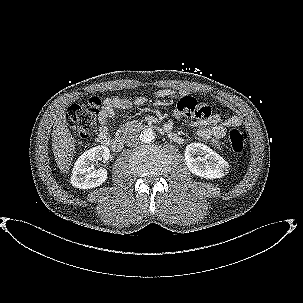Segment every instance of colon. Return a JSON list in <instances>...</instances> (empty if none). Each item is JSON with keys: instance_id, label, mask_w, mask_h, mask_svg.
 Segmentation results:
<instances>
[{"instance_id": "colon-1", "label": "colon", "mask_w": 303, "mask_h": 303, "mask_svg": "<svg viewBox=\"0 0 303 303\" xmlns=\"http://www.w3.org/2000/svg\"><path fill=\"white\" fill-rule=\"evenodd\" d=\"M101 101L97 97H91L85 103H74L69 106L66 113L68 125L74 130L80 143H87L95 134L96 117ZM176 112L185 117H203L202 105L191 96L181 97L177 103ZM231 148L235 152H241L246 142V134L240 129H233L229 133Z\"/></svg>"}]
</instances>
